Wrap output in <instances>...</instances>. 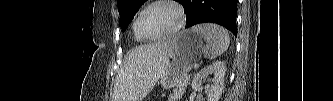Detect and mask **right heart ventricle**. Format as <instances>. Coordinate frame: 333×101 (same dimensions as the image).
Instances as JSON below:
<instances>
[{"mask_svg": "<svg viewBox=\"0 0 333 101\" xmlns=\"http://www.w3.org/2000/svg\"><path fill=\"white\" fill-rule=\"evenodd\" d=\"M133 32H134L135 39H136L138 42H142L143 39L140 38V37L138 36V34L136 33V30H135V24H134V23H133Z\"/></svg>", "mask_w": 333, "mask_h": 101, "instance_id": "1", "label": "right heart ventricle"}]
</instances>
